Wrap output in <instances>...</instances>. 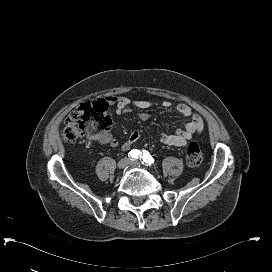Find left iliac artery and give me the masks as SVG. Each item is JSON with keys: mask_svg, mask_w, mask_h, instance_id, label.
Returning <instances> with one entry per match:
<instances>
[{"mask_svg": "<svg viewBox=\"0 0 272 272\" xmlns=\"http://www.w3.org/2000/svg\"><path fill=\"white\" fill-rule=\"evenodd\" d=\"M141 157H142V163H145V164H152L154 163V159L153 157L149 154L148 151H143V153H141Z\"/></svg>", "mask_w": 272, "mask_h": 272, "instance_id": "obj_1", "label": "left iliac artery"}]
</instances>
